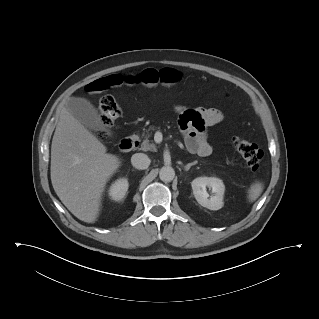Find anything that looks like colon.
Listing matches in <instances>:
<instances>
[{"label": "colon", "instance_id": "1", "mask_svg": "<svg viewBox=\"0 0 319 319\" xmlns=\"http://www.w3.org/2000/svg\"><path fill=\"white\" fill-rule=\"evenodd\" d=\"M120 115V105L113 96L107 95L100 99L99 116L103 128L110 127ZM99 135L104 137L105 130H100ZM233 145L243 157L247 167L252 171L258 170L263 158L262 150L256 144L239 137L233 138Z\"/></svg>", "mask_w": 319, "mask_h": 319}]
</instances>
